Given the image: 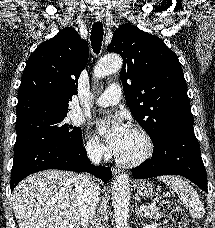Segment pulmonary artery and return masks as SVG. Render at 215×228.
Listing matches in <instances>:
<instances>
[{
    "label": "pulmonary artery",
    "mask_w": 215,
    "mask_h": 228,
    "mask_svg": "<svg viewBox=\"0 0 215 228\" xmlns=\"http://www.w3.org/2000/svg\"><path fill=\"white\" fill-rule=\"evenodd\" d=\"M118 84H107V89L98 98L96 104L100 107L116 105L121 100V90Z\"/></svg>",
    "instance_id": "obj_1"
}]
</instances>
